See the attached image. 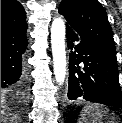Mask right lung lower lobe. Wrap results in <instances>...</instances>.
<instances>
[{"label":"right lung lower lobe","mask_w":122,"mask_h":123,"mask_svg":"<svg viewBox=\"0 0 122 123\" xmlns=\"http://www.w3.org/2000/svg\"><path fill=\"white\" fill-rule=\"evenodd\" d=\"M26 30L1 28V96L14 95L21 103L26 97L29 79Z\"/></svg>","instance_id":"obj_1"}]
</instances>
